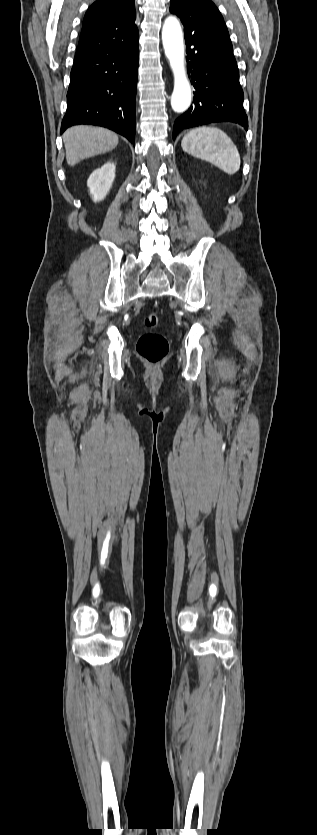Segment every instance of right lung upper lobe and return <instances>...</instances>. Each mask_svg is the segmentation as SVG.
Listing matches in <instances>:
<instances>
[{"label": "right lung upper lobe", "mask_w": 317, "mask_h": 835, "mask_svg": "<svg viewBox=\"0 0 317 835\" xmlns=\"http://www.w3.org/2000/svg\"><path fill=\"white\" fill-rule=\"evenodd\" d=\"M134 0H97L87 10L78 47H114L138 36Z\"/></svg>", "instance_id": "cb5924a9"}]
</instances>
